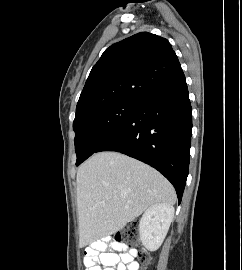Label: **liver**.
<instances>
[{
  "label": "liver",
  "instance_id": "6515ba94",
  "mask_svg": "<svg viewBox=\"0 0 242 270\" xmlns=\"http://www.w3.org/2000/svg\"><path fill=\"white\" fill-rule=\"evenodd\" d=\"M80 246L110 236L150 206L173 205V186L152 167L118 152H100L77 171Z\"/></svg>",
  "mask_w": 242,
  "mask_h": 270
}]
</instances>
